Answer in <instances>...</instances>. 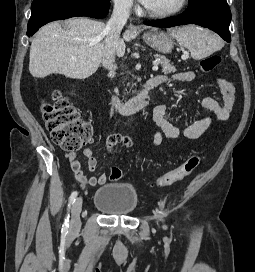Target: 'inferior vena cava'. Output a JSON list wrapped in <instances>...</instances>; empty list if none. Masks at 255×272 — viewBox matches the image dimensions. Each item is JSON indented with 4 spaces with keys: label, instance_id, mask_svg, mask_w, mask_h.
Wrapping results in <instances>:
<instances>
[{
    "label": "inferior vena cava",
    "instance_id": "obj_1",
    "mask_svg": "<svg viewBox=\"0 0 255 272\" xmlns=\"http://www.w3.org/2000/svg\"><path fill=\"white\" fill-rule=\"evenodd\" d=\"M130 8L131 4L127 0H117L112 16L106 25L107 38L102 64L109 70L108 76L111 78L116 74L115 49L120 39L121 30L129 18Z\"/></svg>",
    "mask_w": 255,
    "mask_h": 272
}]
</instances>
